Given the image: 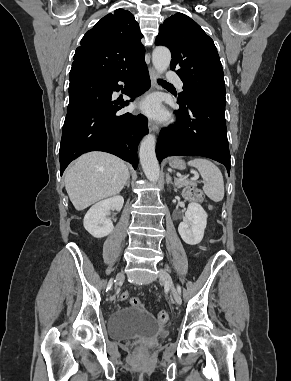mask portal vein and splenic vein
Masks as SVG:
<instances>
[{
    "instance_id": "portal-vein-and-splenic-vein-1",
    "label": "portal vein and splenic vein",
    "mask_w": 291,
    "mask_h": 381,
    "mask_svg": "<svg viewBox=\"0 0 291 381\" xmlns=\"http://www.w3.org/2000/svg\"><path fill=\"white\" fill-rule=\"evenodd\" d=\"M176 175H177V177H179V178H186V177H187V176L181 175L180 173H177ZM198 178H199V175L195 174V175L191 178V180H197Z\"/></svg>"
}]
</instances>
